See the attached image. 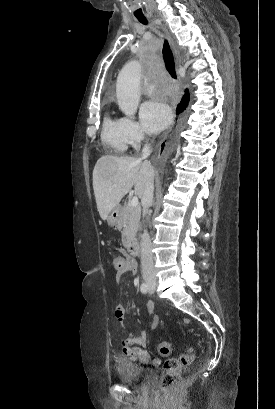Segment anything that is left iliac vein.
Here are the masks:
<instances>
[{
  "label": "left iliac vein",
  "instance_id": "4c4485c4",
  "mask_svg": "<svg viewBox=\"0 0 275 409\" xmlns=\"http://www.w3.org/2000/svg\"><path fill=\"white\" fill-rule=\"evenodd\" d=\"M154 291H155V286H152V287L149 288L148 292H149V294H153Z\"/></svg>",
  "mask_w": 275,
  "mask_h": 409
}]
</instances>
